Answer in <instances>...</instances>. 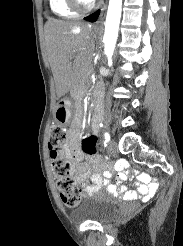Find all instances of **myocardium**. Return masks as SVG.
Listing matches in <instances>:
<instances>
[{
    "mask_svg": "<svg viewBox=\"0 0 183 246\" xmlns=\"http://www.w3.org/2000/svg\"><path fill=\"white\" fill-rule=\"evenodd\" d=\"M72 9H74L78 13H85L93 9L94 2L88 1L85 2L83 0H68Z\"/></svg>",
    "mask_w": 183,
    "mask_h": 246,
    "instance_id": "obj_1",
    "label": "myocardium"
}]
</instances>
